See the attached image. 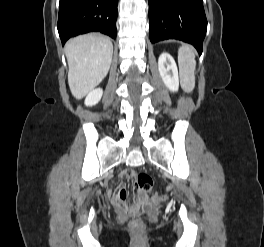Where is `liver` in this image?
<instances>
[{"instance_id":"1","label":"liver","mask_w":264,"mask_h":247,"mask_svg":"<svg viewBox=\"0 0 264 247\" xmlns=\"http://www.w3.org/2000/svg\"><path fill=\"white\" fill-rule=\"evenodd\" d=\"M68 84L72 95L81 99L108 74L113 54L111 41L101 35L86 34L70 39L65 45Z\"/></svg>"}]
</instances>
